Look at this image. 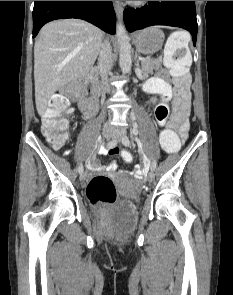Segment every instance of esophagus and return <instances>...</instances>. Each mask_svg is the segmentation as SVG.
I'll return each instance as SVG.
<instances>
[{
  "label": "esophagus",
  "instance_id": "1",
  "mask_svg": "<svg viewBox=\"0 0 233 295\" xmlns=\"http://www.w3.org/2000/svg\"><path fill=\"white\" fill-rule=\"evenodd\" d=\"M114 10L116 12V15L119 19H122L123 16V8L119 3L114 4Z\"/></svg>",
  "mask_w": 233,
  "mask_h": 295
}]
</instances>
